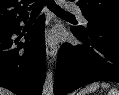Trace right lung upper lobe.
I'll list each match as a JSON object with an SVG mask.
<instances>
[{
  "label": "right lung upper lobe",
  "instance_id": "cb5924a9",
  "mask_svg": "<svg viewBox=\"0 0 119 95\" xmlns=\"http://www.w3.org/2000/svg\"><path fill=\"white\" fill-rule=\"evenodd\" d=\"M34 0H0V29H6L28 18V4Z\"/></svg>",
  "mask_w": 119,
  "mask_h": 95
}]
</instances>
